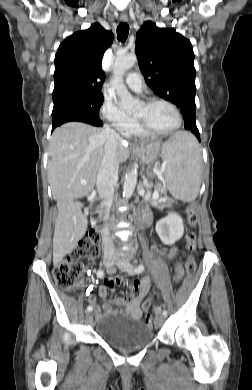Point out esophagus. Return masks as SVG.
<instances>
[{
    "label": "esophagus",
    "instance_id": "obj_1",
    "mask_svg": "<svg viewBox=\"0 0 252 390\" xmlns=\"http://www.w3.org/2000/svg\"><path fill=\"white\" fill-rule=\"evenodd\" d=\"M120 19H121V21H123V22H127V21H128V17H127L126 15L120 16Z\"/></svg>",
    "mask_w": 252,
    "mask_h": 390
}]
</instances>
